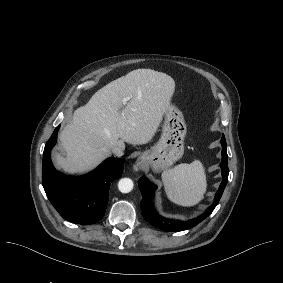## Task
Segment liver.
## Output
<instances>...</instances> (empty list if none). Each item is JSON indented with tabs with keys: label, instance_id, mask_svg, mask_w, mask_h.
I'll return each mask as SVG.
<instances>
[{
	"label": "liver",
	"instance_id": "liver-1",
	"mask_svg": "<svg viewBox=\"0 0 283 283\" xmlns=\"http://www.w3.org/2000/svg\"><path fill=\"white\" fill-rule=\"evenodd\" d=\"M173 89L171 76L144 68L106 84L74 111L60 131L66 156L54 152L56 167L67 174L84 175L110 157L113 148L125 150V141L146 143ZM122 98H128V103L120 109Z\"/></svg>",
	"mask_w": 283,
	"mask_h": 283
}]
</instances>
